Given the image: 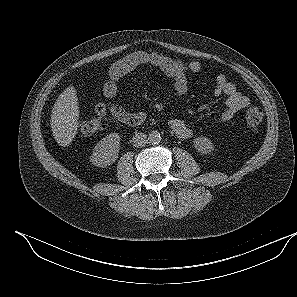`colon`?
I'll list each match as a JSON object with an SVG mask.
<instances>
[{"instance_id": "1", "label": "colon", "mask_w": 297, "mask_h": 297, "mask_svg": "<svg viewBox=\"0 0 297 297\" xmlns=\"http://www.w3.org/2000/svg\"><path fill=\"white\" fill-rule=\"evenodd\" d=\"M263 120V111L257 106L246 108L243 116L244 126L249 130L256 129ZM106 118L103 115L90 120H83L79 123V131L83 135H92L104 130Z\"/></svg>"}]
</instances>
